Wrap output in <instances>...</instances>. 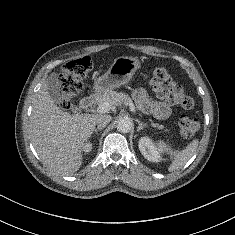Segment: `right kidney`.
I'll use <instances>...</instances> for the list:
<instances>
[{
	"mask_svg": "<svg viewBox=\"0 0 235 235\" xmlns=\"http://www.w3.org/2000/svg\"><path fill=\"white\" fill-rule=\"evenodd\" d=\"M91 150H92V144H91L90 142H89V143H86V144L84 145L83 151H84L85 153H89Z\"/></svg>",
	"mask_w": 235,
	"mask_h": 235,
	"instance_id": "ca27d5eb",
	"label": "right kidney"
}]
</instances>
